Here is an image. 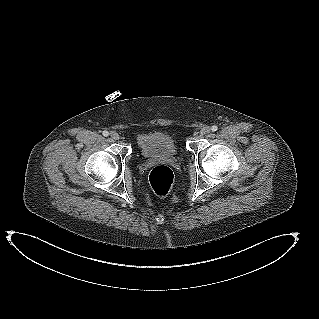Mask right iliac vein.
<instances>
[{
	"mask_svg": "<svg viewBox=\"0 0 319 319\" xmlns=\"http://www.w3.org/2000/svg\"><path fill=\"white\" fill-rule=\"evenodd\" d=\"M110 137L114 140H118L120 138L119 134L115 131L110 133Z\"/></svg>",
	"mask_w": 319,
	"mask_h": 319,
	"instance_id": "obj_1",
	"label": "right iliac vein"
}]
</instances>
